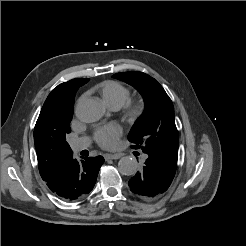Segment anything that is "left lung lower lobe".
Masks as SVG:
<instances>
[{
    "label": "left lung lower lobe",
    "mask_w": 246,
    "mask_h": 246,
    "mask_svg": "<svg viewBox=\"0 0 246 246\" xmlns=\"http://www.w3.org/2000/svg\"><path fill=\"white\" fill-rule=\"evenodd\" d=\"M140 172L129 181L130 190L139 198L150 200L163 194L171 185L177 163L153 152L146 153Z\"/></svg>",
    "instance_id": "obj_1"
}]
</instances>
